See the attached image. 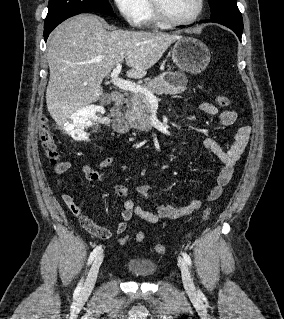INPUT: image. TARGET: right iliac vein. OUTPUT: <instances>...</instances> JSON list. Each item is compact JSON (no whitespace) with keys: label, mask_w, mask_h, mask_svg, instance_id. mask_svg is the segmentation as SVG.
<instances>
[{"label":"right iliac vein","mask_w":284,"mask_h":319,"mask_svg":"<svg viewBox=\"0 0 284 319\" xmlns=\"http://www.w3.org/2000/svg\"><path fill=\"white\" fill-rule=\"evenodd\" d=\"M103 259H104V254L103 253H100L94 260L89 272H88V275H87V278L85 280V283H84V286L82 288V293L83 294H89L93 288H94V285H95V282H96V279H97V275H98V272H99V268L103 262Z\"/></svg>","instance_id":"1"}]
</instances>
